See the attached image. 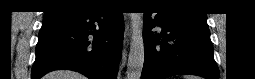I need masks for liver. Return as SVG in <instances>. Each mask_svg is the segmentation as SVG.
Masks as SVG:
<instances>
[{
	"mask_svg": "<svg viewBox=\"0 0 255 79\" xmlns=\"http://www.w3.org/2000/svg\"><path fill=\"white\" fill-rule=\"evenodd\" d=\"M44 79H86L85 76L69 70H58L49 73Z\"/></svg>",
	"mask_w": 255,
	"mask_h": 79,
	"instance_id": "obj_1",
	"label": "liver"
}]
</instances>
